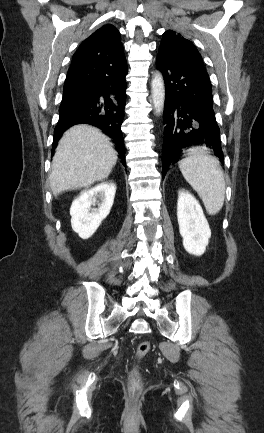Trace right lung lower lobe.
I'll return each mask as SVG.
<instances>
[{
	"mask_svg": "<svg viewBox=\"0 0 264 433\" xmlns=\"http://www.w3.org/2000/svg\"><path fill=\"white\" fill-rule=\"evenodd\" d=\"M126 74V61L120 64L101 61L72 64L63 88L53 147L71 126L91 124L113 139L119 157L126 165L121 131L126 104Z\"/></svg>",
	"mask_w": 264,
	"mask_h": 433,
	"instance_id": "1",
	"label": "right lung lower lobe"
}]
</instances>
